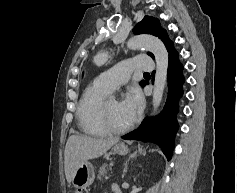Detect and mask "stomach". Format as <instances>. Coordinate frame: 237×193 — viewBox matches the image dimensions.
I'll use <instances>...</instances> for the list:
<instances>
[{
	"instance_id": "obj_1",
	"label": "stomach",
	"mask_w": 237,
	"mask_h": 193,
	"mask_svg": "<svg viewBox=\"0 0 237 193\" xmlns=\"http://www.w3.org/2000/svg\"><path fill=\"white\" fill-rule=\"evenodd\" d=\"M113 152L119 155H126L128 147L124 143H117L113 146ZM95 178L94 167L88 161L82 162L76 169L72 184L76 188L89 187Z\"/></svg>"
}]
</instances>
